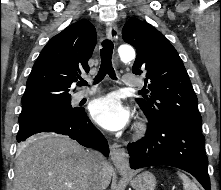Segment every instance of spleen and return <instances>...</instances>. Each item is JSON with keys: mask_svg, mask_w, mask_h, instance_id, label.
I'll use <instances>...</instances> for the list:
<instances>
[{"mask_svg": "<svg viewBox=\"0 0 221 190\" xmlns=\"http://www.w3.org/2000/svg\"><path fill=\"white\" fill-rule=\"evenodd\" d=\"M180 179L182 180L183 187L185 190H199L197 185L191 181L185 174L178 172Z\"/></svg>", "mask_w": 221, "mask_h": 190, "instance_id": "1", "label": "spleen"}]
</instances>
